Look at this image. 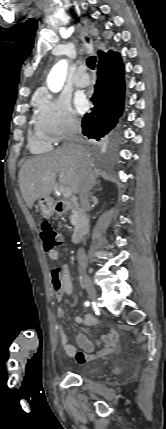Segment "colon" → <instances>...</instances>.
Returning <instances> with one entry per match:
<instances>
[{"instance_id":"5ec220e1","label":"colon","mask_w":166,"mask_h":429,"mask_svg":"<svg viewBox=\"0 0 166 429\" xmlns=\"http://www.w3.org/2000/svg\"><path fill=\"white\" fill-rule=\"evenodd\" d=\"M40 235L44 250L49 253L56 250L63 242L62 236L56 232L49 222L43 221L40 225Z\"/></svg>"}]
</instances>
